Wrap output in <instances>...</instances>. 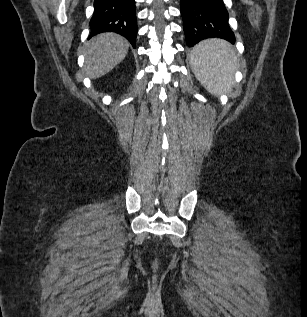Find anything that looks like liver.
Returning a JSON list of instances; mask_svg holds the SVG:
<instances>
[{
	"label": "liver",
	"mask_w": 307,
	"mask_h": 317,
	"mask_svg": "<svg viewBox=\"0 0 307 317\" xmlns=\"http://www.w3.org/2000/svg\"><path fill=\"white\" fill-rule=\"evenodd\" d=\"M129 42L115 33H102L86 45L84 70L91 79L110 72L127 55Z\"/></svg>",
	"instance_id": "obj_1"
}]
</instances>
